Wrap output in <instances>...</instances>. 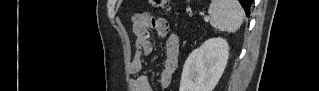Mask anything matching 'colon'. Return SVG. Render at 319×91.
<instances>
[{"label":"colon","mask_w":319,"mask_h":91,"mask_svg":"<svg viewBox=\"0 0 319 91\" xmlns=\"http://www.w3.org/2000/svg\"><path fill=\"white\" fill-rule=\"evenodd\" d=\"M151 5L161 8L164 11L170 10V3L167 0H150Z\"/></svg>","instance_id":"1"}]
</instances>
